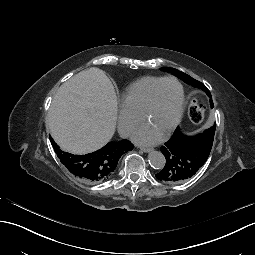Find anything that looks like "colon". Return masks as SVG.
I'll use <instances>...</instances> for the list:
<instances>
[{
  "label": "colon",
  "mask_w": 255,
  "mask_h": 255,
  "mask_svg": "<svg viewBox=\"0 0 255 255\" xmlns=\"http://www.w3.org/2000/svg\"><path fill=\"white\" fill-rule=\"evenodd\" d=\"M188 114L190 119L197 124L202 123L205 119L203 106L199 102L196 95H193L190 99Z\"/></svg>",
  "instance_id": "5ec220e1"
}]
</instances>
